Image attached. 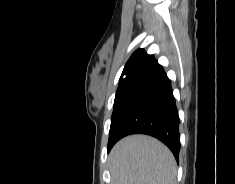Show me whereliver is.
Masks as SVG:
<instances>
[{
  "instance_id": "6515ba94",
  "label": "liver",
  "mask_w": 235,
  "mask_h": 184,
  "mask_svg": "<svg viewBox=\"0 0 235 184\" xmlns=\"http://www.w3.org/2000/svg\"><path fill=\"white\" fill-rule=\"evenodd\" d=\"M108 162L111 184H176L172 152L151 136L123 138L112 148Z\"/></svg>"
}]
</instances>
